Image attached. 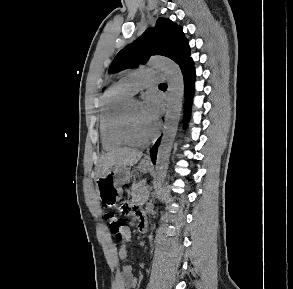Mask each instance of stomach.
I'll return each mask as SVG.
<instances>
[{"label":"stomach","instance_id":"stomach-1","mask_svg":"<svg viewBox=\"0 0 293 289\" xmlns=\"http://www.w3.org/2000/svg\"><path fill=\"white\" fill-rule=\"evenodd\" d=\"M150 164L140 163L138 168L142 172L150 169ZM130 170L128 167H113L108 174L100 176L96 187L99 199L109 208L117 206L122 198V185L130 180Z\"/></svg>","mask_w":293,"mask_h":289}]
</instances>
